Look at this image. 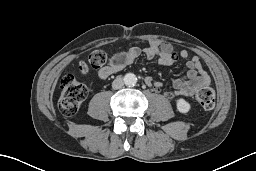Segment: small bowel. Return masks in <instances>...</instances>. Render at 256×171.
I'll use <instances>...</instances> for the list:
<instances>
[{
	"label": "small bowel",
	"instance_id": "small-bowel-1",
	"mask_svg": "<svg viewBox=\"0 0 256 171\" xmlns=\"http://www.w3.org/2000/svg\"><path fill=\"white\" fill-rule=\"evenodd\" d=\"M148 59L158 58L161 66L167 67L177 61L178 57L186 60V74L182 78H174L171 80L172 89L164 93L165 97L172 99L176 96H191L199 88L210 82L209 75L200 62L198 56L190 57L189 51L183 49L179 55L174 52L173 46L168 42L159 40H151L143 49ZM141 53L138 47H131L125 51L115 54L109 61L103 65L97 72L99 80H106L112 74L119 72L130 65ZM148 86L156 91H160L162 83L151 77L145 80Z\"/></svg>",
	"mask_w": 256,
	"mask_h": 171
}]
</instances>
